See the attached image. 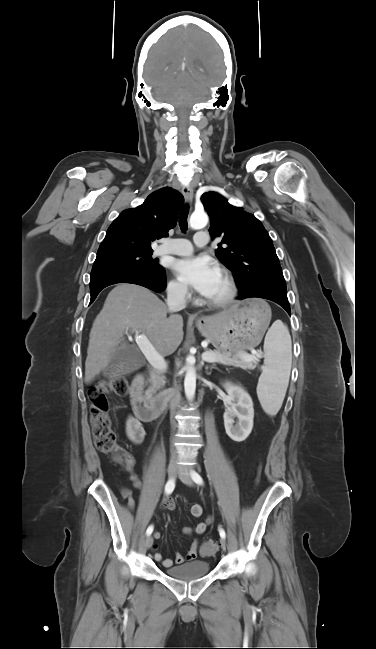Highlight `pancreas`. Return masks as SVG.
<instances>
[{"instance_id":"1","label":"pancreas","mask_w":376,"mask_h":649,"mask_svg":"<svg viewBox=\"0 0 376 649\" xmlns=\"http://www.w3.org/2000/svg\"><path fill=\"white\" fill-rule=\"evenodd\" d=\"M206 353H214V354L218 355L219 359L217 360V363H219V364H223V365H226V366L239 367V368H242L244 370H246V369L254 370L256 368L255 363L258 361L257 357H256L257 360L251 361V362H247V361H244L242 359L237 360L236 358H230L231 353H229V352L221 353L218 350L206 351V352L203 353V355L206 354ZM244 354H246V353L242 352V351L239 352V355H244ZM165 379H166L165 376L162 375L161 373H159V372H157L155 370L151 371L150 379H149L150 386L147 389L148 396L152 397L154 394H156V392L159 389L163 388L165 383H166Z\"/></svg>"}]
</instances>
